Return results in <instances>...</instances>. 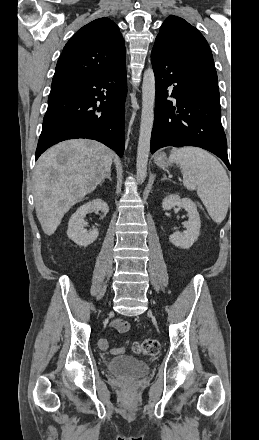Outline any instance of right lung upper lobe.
I'll return each instance as SVG.
<instances>
[{
	"instance_id": "cb5924a9",
	"label": "right lung upper lobe",
	"mask_w": 259,
	"mask_h": 440,
	"mask_svg": "<svg viewBox=\"0 0 259 440\" xmlns=\"http://www.w3.org/2000/svg\"><path fill=\"white\" fill-rule=\"evenodd\" d=\"M126 49L118 26L96 19L79 29L65 45L52 84L73 82L110 71L125 62Z\"/></svg>"
}]
</instances>
